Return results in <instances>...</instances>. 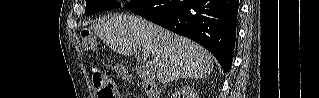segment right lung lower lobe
Listing matches in <instances>:
<instances>
[{"label": "right lung lower lobe", "mask_w": 319, "mask_h": 98, "mask_svg": "<svg viewBox=\"0 0 319 98\" xmlns=\"http://www.w3.org/2000/svg\"><path fill=\"white\" fill-rule=\"evenodd\" d=\"M239 0H151L131 11L215 55L224 72L232 65Z\"/></svg>", "instance_id": "98d812e1"}]
</instances>
